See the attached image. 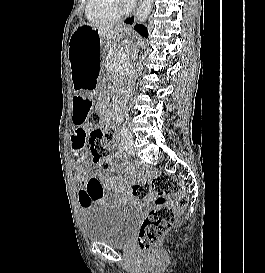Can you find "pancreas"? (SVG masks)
<instances>
[{
  "label": "pancreas",
  "instance_id": "1",
  "mask_svg": "<svg viewBox=\"0 0 265 273\" xmlns=\"http://www.w3.org/2000/svg\"><path fill=\"white\" fill-rule=\"evenodd\" d=\"M128 52L126 48L113 47L107 54L104 62L105 70L109 73L113 72L123 63L122 57Z\"/></svg>",
  "mask_w": 265,
  "mask_h": 273
}]
</instances>
